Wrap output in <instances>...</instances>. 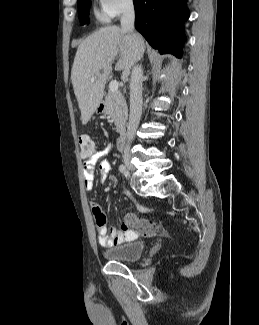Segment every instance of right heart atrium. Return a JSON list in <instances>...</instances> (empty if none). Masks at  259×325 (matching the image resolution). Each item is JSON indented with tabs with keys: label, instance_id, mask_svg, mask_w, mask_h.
Segmentation results:
<instances>
[{
	"label": "right heart atrium",
	"instance_id": "d8ad5b80",
	"mask_svg": "<svg viewBox=\"0 0 259 325\" xmlns=\"http://www.w3.org/2000/svg\"><path fill=\"white\" fill-rule=\"evenodd\" d=\"M99 14L103 19L109 20L118 17L130 9L133 0H97Z\"/></svg>",
	"mask_w": 259,
	"mask_h": 325
}]
</instances>
